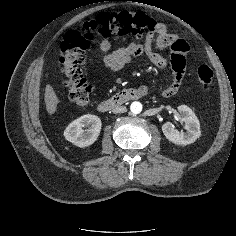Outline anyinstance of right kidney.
Wrapping results in <instances>:
<instances>
[{"mask_svg":"<svg viewBox=\"0 0 236 236\" xmlns=\"http://www.w3.org/2000/svg\"><path fill=\"white\" fill-rule=\"evenodd\" d=\"M88 128L84 130L83 128ZM101 131V119L96 115H83L68 125L64 131L67 141L78 147L92 145Z\"/></svg>","mask_w":236,"mask_h":236,"instance_id":"1","label":"right kidney"}]
</instances>
